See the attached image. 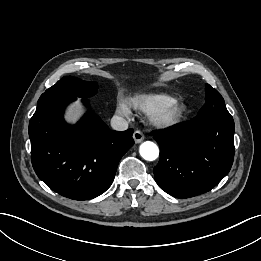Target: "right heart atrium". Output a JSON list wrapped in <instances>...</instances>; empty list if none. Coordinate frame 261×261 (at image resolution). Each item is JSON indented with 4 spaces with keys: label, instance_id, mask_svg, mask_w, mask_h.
Instances as JSON below:
<instances>
[{
    "label": "right heart atrium",
    "instance_id": "right-heart-atrium-1",
    "mask_svg": "<svg viewBox=\"0 0 261 261\" xmlns=\"http://www.w3.org/2000/svg\"><path fill=\"white\" fill-rule=\"evenodd\" d=\"M117 112L123 116H129L131 111H130V108H129V105L123 101V100H120L117 104Z\"/></svg>",
    "mask_w": 261,
    "mask_h": 261
}]
</instances>
